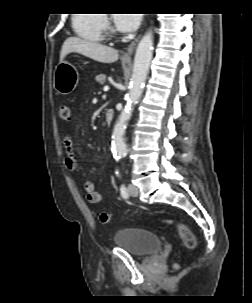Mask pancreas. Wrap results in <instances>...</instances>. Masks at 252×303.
Masks as SVG:
<instances>
[{
	"mask_svg": "<svg viewBox=\"0 0 252 303\" xmlns=\"http://www.w3.org/2000/svg\"><path fill=\"white\" fill-rule=\"evenodd\" d=\"M96 82L100 84H104L106 81V75L105 74H99L95 77Z\"/></svg>",
	"mask_w": 252,
	"mask_h": 303,
	"instance_id": "cf45deb5",
	"label": "pancreas"
}]
</instances>
